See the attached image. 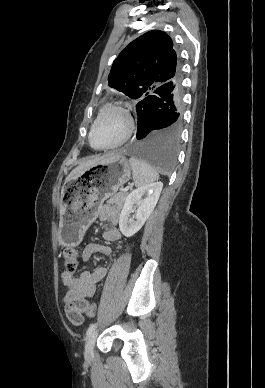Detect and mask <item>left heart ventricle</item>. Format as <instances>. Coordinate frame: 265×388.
I'll list each match as a JSON object with an SVG mask.
<instances>
[{"mask_svg":"<svg viewBox=\"0 0 265 388\" xmlns=\"http://www.w3.org/2000/svg\"><path fill=\"white\" fill-rule=\"evenodd\" d=\"M125 130V118L122 114L110 111L98 122L94 130V142L99 146L116 143Z\"/></svg>","mask_w":265,"mask_h":388,"instance_id":"1","label":"left heart ventricle"}]
</instances>
